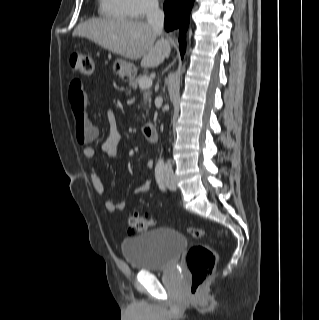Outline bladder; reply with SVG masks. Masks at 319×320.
<instances>
[{
	"label": "bladder",
	"mask_w": 319,
	"mask_h": 320,
	"mask_svg": "<svg viewBox=\"0 0 319 320\" xmlns=\"http://www.w3.org/2000/svg\"><path fill=\"white\" fill-rule=\"evenodd\" d=\"M187 246L182 232L157 228L124 239L122 253L132 269L153 272L170 268Z\"/></svg>",
	"instance_id": "31cf9c89"
}]
</instances>
